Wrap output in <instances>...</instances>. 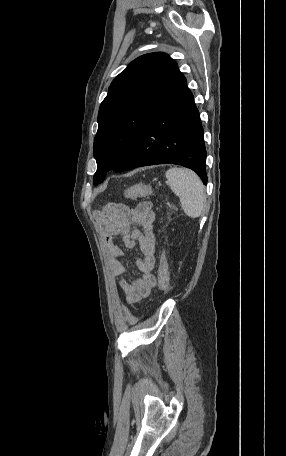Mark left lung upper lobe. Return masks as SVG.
I'll use <instances>...</instances> for the list:
<instances>
[{
    "label": "left lung upper lobe",
    "mask_w": 286,
    "mask_h": 456,
    "mask_svg": "<svg viewBox=\"0 0 286 456\" xmlns=\"http://www.w3.org/2000/svg\"><path fill=\"white\" fill-rule=\"evenodd\" d=\"M185 80L170 56L155 52L132 61L112 81L98 112L94 185L103 182L109 170L117 172L139 134Z\"/></svg>",
    "instance_id": "1"
}]
</instances>
